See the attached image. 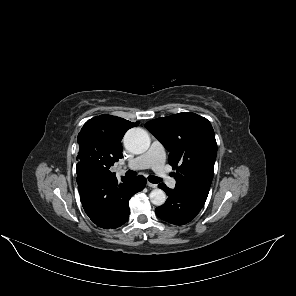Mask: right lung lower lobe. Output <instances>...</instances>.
Instances as JSON below:
<instances>
[{
	"instance_id": "1",
	"label": "right lung lower lobe",
	"mask_w": 296,
	"mask_h": 296,
	"mask_svg": "<svg viewBox=\"0 0 296 296\" xmlns=\"http://www.w3.org/2000/svg\"><path fill=\"white\" fill-rule=\"evenodd\" d=\"M77 184L80 200L86 214L98 227L117 228L124 224L130 214L129 200L146 186V179L116 176L104 177L96 174L84 162L77 164Z\"/></svg>"
}]
</instances>
